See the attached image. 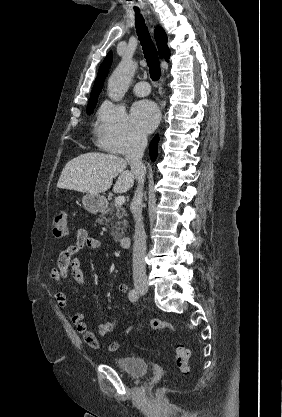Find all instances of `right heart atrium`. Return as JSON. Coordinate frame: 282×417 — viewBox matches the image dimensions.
<instances>
[{
	"instance_id": "d8ad5b80",
	"label": "right heart atrium",
	"mask_w": 282,
	"mask_h": 417,
	"mask_svg": "<svg viewBox=\"0 0 282 417\" xmlns=\"http://www.w3.org/2000/svg\"><path fill=\"white\" fill-rule=\"evenodd\" d=\"M96 135L100 147L114 154H130L144 142V136L132 125L124 108L111 103L103 107Z\"/></svg>"
}]
</instances>
